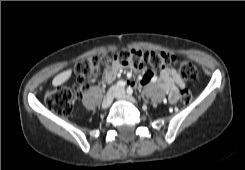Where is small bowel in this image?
I'll use <instances>...</instances> for the list:
<instances>
[{
  "mask_svg": "<svg viewBox=\"0 0 245 170\" xmlns=\"http://www.w3.org/2000/svg\"><path fill=\"white\" fill-rule=\"evenodd\" d=\"M120 69L118 67H112L105 73V80L110 82L116 78ZM155 81V77L149 73H145L140 79V85L145 86L150 82ZM130 86L134 85L131 80L127 81ZM160 87L167 92L168 101L170 104H175L179 100L180 92L184 89V81L180 78L177 70L173 67L164 68L159 76Z\"/></svg>",
  "mask_w": 245,
  "mask_h": 170,
  "instance_id": "small-bowel-1",
  "label": "small bowel"
}]
</instances>
